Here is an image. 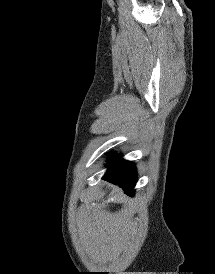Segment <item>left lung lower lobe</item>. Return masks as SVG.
<instances>
[{
    "label": "left lung lower lobe",
    "instance_id": "0a47b994",
    "mask_svg": "<svg viewBox=\"0 0 215 274\" xmlns=\"http://www.w3.org/2000/svg\"><path fill=\"white\" fill-rule=\"evenodd\" d=\"M107 167L108 170L103 179L119 184L130 196H133L137 181L134 164L123 160L120 155L114 154L108 160Z\"/></svg>",
    "mask_w": 215,
    "mask_h": 274
}]
</instances>
